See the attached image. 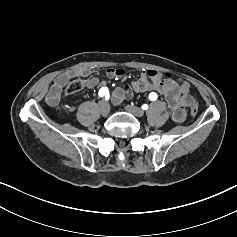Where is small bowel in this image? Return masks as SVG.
<instances>
[{
  "label": "small bowel",
  "mask_w": 237,
  "mask_h": 237,
  "mask_svg": "<svg viewBox=\"0 0 237 237\" xmlns=\"http://www.w3.org/2000/svg\"><path fill=\"white\" fill-rule=\"evenodd\" d=\"M90 70L88 68H78L63 73L55 78L46 94V101L51 106H57L60 103L61 92L67 83L73 78H86L85 86L88 89L102 87L106 85L107 79H119L125 75L121 68H109L105 72L104 78L88 77ZM190 84L187 81H174L164 78L163 75L155 70H148L141 74L138 80L132 84V88H116L112 94V100L119 104L128 97L132 90L137 92L156 91L164 96L169 107L172 118L175 122L181 123L186 117V108L191 106L194 98L189 94ZM65 111L72 112L73 105H64Z\"/></svg>",
  "instance_id": "obj_1"
}]
</instances>
